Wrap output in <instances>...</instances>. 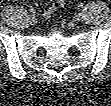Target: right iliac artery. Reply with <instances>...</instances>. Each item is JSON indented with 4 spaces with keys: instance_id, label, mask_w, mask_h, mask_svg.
Segmentation results:
<instances>
[{
    "instance_id": "right-iliac-artery-1",
    "label": "right iliac artery",
    "mask_w": 111,
    "mask_h": 106,
    "mask_svg": "<svg viewBox=\"0 0 111 106\" xmlns=\"http://www.w3.org/2000/svg\"><path fill=\"white\" fill-rule=\"evenodd\" d=\"M29 10L32 14H34L36 12V10L33 7H31Z\"/></svg>"
}]
</instances>
